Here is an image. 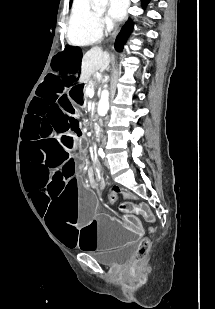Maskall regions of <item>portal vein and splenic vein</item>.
Returning <instances> with one entry per match:
<instances>
[{"instance_id":"portal-vein-and-splenic-vein-1","label":"portal vein and splenic vein","mask_w":215,"mask_h":309,"mask_svg":"<svg viewBox=\"0 0 215 309\" xmlns=\"http://www.w3.org/2000/svg\"><path fill=\"white\" fill-rule=\"evenodd\" d=\"M89 96H94V88H87Z\"/></svg>"}]
</instances>
